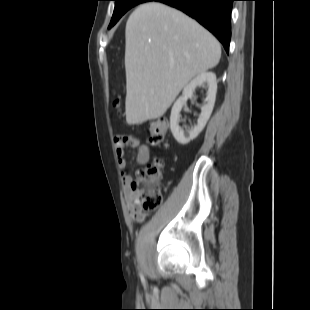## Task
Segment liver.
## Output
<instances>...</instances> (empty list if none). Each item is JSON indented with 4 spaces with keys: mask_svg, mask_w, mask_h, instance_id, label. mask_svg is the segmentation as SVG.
I'll list each match as a JSON object with an SVG mask.
<instances>
[{
    "mask_svg": "<svg viewBox=\"0 0 310 310\" xmlns=\"http://www.w3.org/2000/svg\"><path fill=\"white\" fill-rule=\"evenodd\" d=\"M126 121L165 114L195 76L221 57L216 38L184 13L157 2L137 7L125 30Z\"/></svg>",
    "mask_w": 310,
    "mask_h": 310,
    "instance_id": "1",
    "label": "liver"
}]
</instances>
